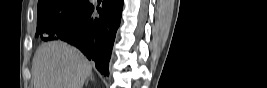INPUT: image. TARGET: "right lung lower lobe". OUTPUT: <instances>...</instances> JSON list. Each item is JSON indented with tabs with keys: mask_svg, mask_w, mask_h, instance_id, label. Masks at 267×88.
I'll return each instance as SVG.
<instances>
[{
	"mask_svg": "<svg viewBox=\"0 0 267 88\" xmlns=\"http://www.w3.org/2000/svg\"><path fill=\"white\" fill-rule=\"evenodd\" d=\"M98 9L99 17L94 16L92 4L74 22L61 26L52 37L64 40L79 48L98 71L108 76V65L117 29L121 20L123 0H103Z\"/></svg>",
	"mask_w": 267,
	"mask_h": 88,
	"instance_id": "obj_1",
	"label": "right lung lower lobe"
}]
</instances>
